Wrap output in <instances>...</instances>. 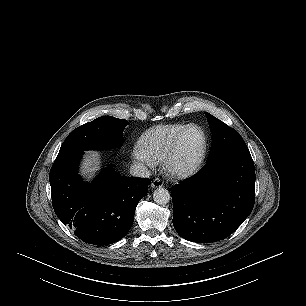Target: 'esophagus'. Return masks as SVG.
<instances>
[{
	"label": "esophagus",
	"instance_id": "34e87169",
	"mask_svg": "<svg viewBox=\"0 0 306 306\" xmlns=\"http://www.w3.org/2000/svg\"><path fill=\"white\" fill-rule=\"evenodd\" d=\"M162 186H163V182L158 178L154 179L151 183L152 188H160Z\"/></svg>",
	"mask_w": 306,
	"mask_h": 306
}]
</instances>
